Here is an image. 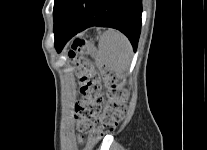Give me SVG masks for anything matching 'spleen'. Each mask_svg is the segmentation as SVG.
Segmentation results:
<instances>
[{"mask_svg": "<svg viewBox=\"0 0 207 150\" xmlns=\"http://www.w3.org/2000/svg\"><path fill=\"white\" fill-rule=\"evenodd\" d=\"M100 60L112 71L121 74L128 70L132 59V47L121 32L108 29L100 37Z\"/></svg>", "mask_w": 207, "mask_h": 150, "instance_id": "1", "label": "spleen"}]
</instances>
